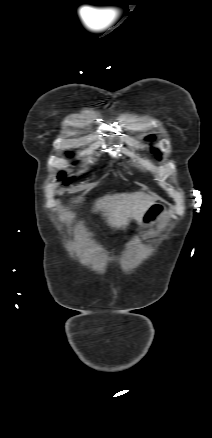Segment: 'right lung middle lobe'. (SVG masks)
<instances>
[{"label": "right lung middle lobe", "instance_id": "1", "mask_svg": "<svg viewBox=\"0 0 212 438\" xmlns=\"http://www.w3.org/2000/svg\"><path fill=\"white\" fill-rule=\"evenodd\" d=\"M69 155H71V153H69ZM64 176H65L64 173H61V174H59L58 178L63 179ZM70 181H71V179H66L64 182V185H67Z\"/></svg>", "mask_w": 212, "mask_h": 438}]
</instances>
